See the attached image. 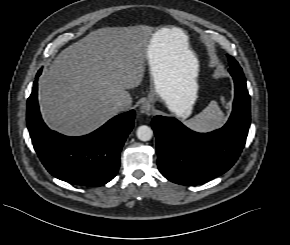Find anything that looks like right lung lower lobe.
I'll return each instance as SVG.
<instances>
[{"label":"right lung lower lobe","mask_w":290,"mask_h":245,"mask_svg":"<svg viewBox=\"0 0 290 245\" xmlns=\"http://www.w3.org/2000/svg\"><path fill=\"white\" fill-rule=\"evenodd\" d=\"M41 72L27 100V127L41 162L60 180L85 186L106 184L118 172L120 151L134 126V110L115 116L85 136L59 134L50 130L40 115L37 93Z\"/></svg>","instance_id":"98d812e1"}]
</instances>
